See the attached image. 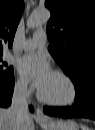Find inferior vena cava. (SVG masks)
<instances>
[{
	"label": "inferior vena cava",
	"instance_id": "1",
	"mask_svg": "<svg viewBox=\"0 0 95 130\" xmlns=\"http://www.w3.org/2000/svg\"><path fill=\"white\" fill-rule=\"evenodd\" d=\"M9 112L14 116L17 126L29 114L26 86H19L14 89Z\"/></svg>",
	"mask_w": 95,
	"mask_h": 130
}]
</instances>
